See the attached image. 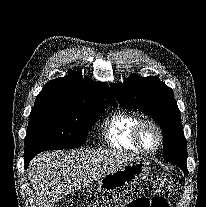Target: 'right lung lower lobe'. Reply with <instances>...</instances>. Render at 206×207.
Here are the masks:
<instances>
[{"label":"right lung lower lobe","instance_id":"98d812e1","mask_svg":"<svg viewBox=\"0 0 206 207\" xmlns=\"http://www.w3.org/2000/svg\"><path fill=\"white\" fill-rule=\"evenodd\" d=\"M34 154H30V155H25V168H27L30 160L34 157Z\"/></svg>","mask_w":206,"mask_h":207}]
</instances>
